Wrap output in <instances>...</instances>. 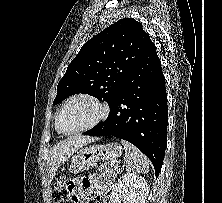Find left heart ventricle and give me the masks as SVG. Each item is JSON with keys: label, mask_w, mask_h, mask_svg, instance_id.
I'll list each match as a JSON object with an SVG mask.
<instances>
[{"label": "left heart ventricle", "mask_w": 222, "mask_h": 203, "mask_svg": "<svg viewBox=\"0 0 222 203\" xmlns=\"http://www.w3.org/2000/svg\"><path fill=\"white\" fill-rule=\"evenodd\" d=\"M99 113L100 110L94 103L78 99L64 108L60 116V126L65 131H73L92 123Z\"/></svg>", "instance_id": "obj_1"}]
</instances>
